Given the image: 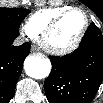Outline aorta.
I'll list each match as a JSON object with an SVG mask.
<instances>
[{"mask_svg":"<svg viewBox=\"0 0 103 103\" xmlns=\"http://www.w3.org/2000/svg\"><path fill=\"white\" fill-rule=\"evenodd\" d=\"M24 69L28 76L35 79L46 78L51 71V62L49 59L39 56H29L25 59Z\"/></svg>","mask_w":103,"mask_h":103,"instance_id":"obj_1","label":"aorta"}]
</instances>
